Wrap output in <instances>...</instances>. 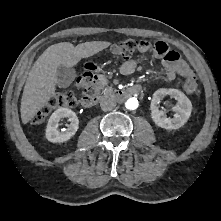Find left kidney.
<instances>
[{
  "label": "left kidney",
  "mask_w": 221,
  "mask_h": 221,
  "mask_svg": "<svg viewBox=\"0 0 221 221\" xmlns=\"http://www.w3.org/2000/svg\"><path fill=\"white\" fill-rule=\"evenodd\" d=\"M169 94L174 97L178 104L173 107L176 111L173 118L166 117L164 111L158 109V104L162 96ZM192 112V103L186 95L177 89H160L153 94L151 102V118L154 123L164 129H178L189 119Z\"/></svg>",
  "instance_id": "obj_1"
}]
</instances>
